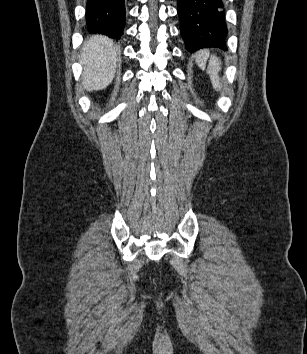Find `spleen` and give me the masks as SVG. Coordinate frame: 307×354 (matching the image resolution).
<instances>
[{"label":"spleen","mask_w":307,"mask_h":354,"mask_svg":"<svg viewBox=\"0 0 307 354\" xmlns=\"http://www.w3.org/2000/svg\"><path fill=\"white\" fill-rule=\"evenodd\" d=\"M208 57H209V52L206 50L200 51L199 53H197L195 55V60L201 69H205L206 60ZM220 64H221L220 60L216 56L213 55L210 57L209 66L207 69V73L210 76L212 86L217 91L221 90V88H222L221 83H220V79L218 76V73L220 71Z\"/></svg>","instance_id":"obj_1"}]
</instances>
